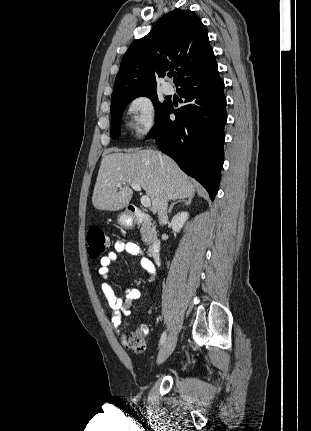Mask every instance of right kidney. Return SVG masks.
Instances as JSON below:
<instances>
[{"label":"right kidney","mask_w":311,"mask_h":431,"mask_svg":"<svg viewBox=\"0 0 311 431\" xmlns=\"http://www.w3.org/2000/svg\"><path fill=\"white\" fill-rule=\"evenodd\" d=\"M188 217V212H179V214H176V216L172 217L171 225L173 231H180Z\"/></svg>","instance_id":"1"}]
</instances>
